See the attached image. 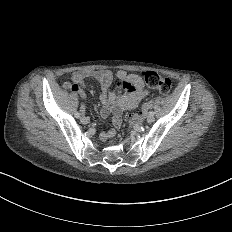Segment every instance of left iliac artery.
Masks as SVG:
<instances>
[{
    "mask_svg": "<svg viewBox=\"0 0 232 232\" xmlns=\"http://www.w3.org/2000/svg\"><path fill=\"white\" fill-rule=\"evenodd\" d=\"M155 115V112L151 111L149 112V116L153 117Z\"/></svg>",
    "mask_w": 232,
    "mask_h": 232,
    "instance_id": "left-iliac-artery-1",
    "label": "left iliac artery"
}]
</instances>
